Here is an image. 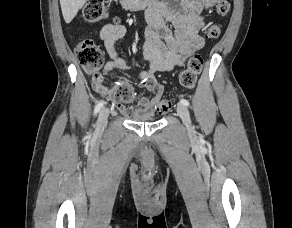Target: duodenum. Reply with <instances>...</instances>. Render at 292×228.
<instances>
[{
  "label": "duodenum",
  "mask_w": 292,
  "mask_h": 228,
  "mask_svg": "<svg viewBox=\"0 0 292 228\" xmlns=\"http://www.w3.org/2000/svg\"><path fill=\"white\" fill-rule=\"evenodd\" d=\"M158 0H119L124 10H135L147 7H153Z\"/></svg>",
  "instance_id": "410a0bca"
}]
</instances>
